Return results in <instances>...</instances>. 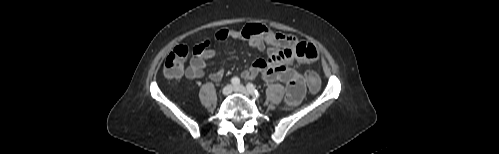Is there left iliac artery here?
<instances>
[{"mask_svg": "<svg viewBox=\"0 0 499 154\" xmlns=\"http://www.w3.org/2000/svg\"><path fill=\"white\" fill-rule=\"evenodd\" d=\"M246 87H247V90L249 91V93H251L252 95L260 96L259 91L256 89V87L252 83H248Z\"/></svg>", "mask_w": 499, "mask_h": 154, "instance_id": "left-iliac-artery-1", "label": "left iliac artery"}]
</instances>
